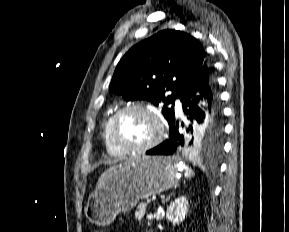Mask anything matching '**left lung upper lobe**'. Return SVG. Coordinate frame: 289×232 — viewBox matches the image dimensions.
Here are the masks:
<instances>
[{"instance_id":"obj_1","label":"left lung upper lobe","mask_w":289,"mask_h":232,"mask_svg":"<svg viewBox=\"0 0 289 232\" xmlns=\"http://www.w3.org/2000/svg\"><path fill=\"white\" fill-rule=\"evenodd\" d=\"M206 52L191 35L163 30L133 46L118 63L109 91L126 101L164 103L168 123L174 119V100L179 98L205 61ZM172 94L166 96L167 91ZM223 123L211 120L185 135L187 151L216 153L221 149Z\"/></svg>"}]
</instances>
